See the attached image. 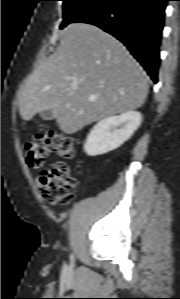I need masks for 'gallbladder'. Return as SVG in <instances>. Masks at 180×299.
<instances>
[{"mask_svg":"<svg viewBox=\"0 0 180 299\" xmlns=\"http://www.w3.org/2000/svg\"><path fill=\"white\" fill-rule=\"evenodd\" d=\"M40 116L44 120H52L54 118V114H53L52 110H49V109L42 111L40 113Z\"/></svg>","mask_w":180,"mask_h":299,"instance_id":"obj_1","label":"gallbladder"}]
</instances>
